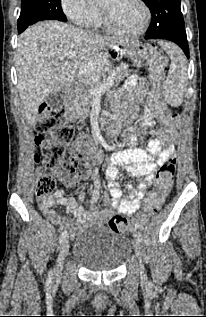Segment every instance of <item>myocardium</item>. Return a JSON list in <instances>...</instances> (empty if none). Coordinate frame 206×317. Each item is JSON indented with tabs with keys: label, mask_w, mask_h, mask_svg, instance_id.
Wrapping results in <instances>:
<instances>
[{
	"label": "myocardium",
	"mask_w": 206,
	"mask_h": 317,
	"mask_svg": "<svg viewBox=\"0 0 206 317\" xmlns=\"http://www.w3.org/2000/svg\"><path fill=\"white\" fill-rule=\"evenodd\" d=\"M136 2L140 4V6L142 7L144 11V21L139 30L135 32H130V33L119 30L113 25L107 10L100 6L102 21L106 29L115 35L126 37V38H135V37H139L143 35L148 29L150 21H151V10L144 0H136Z\"/></svg>",
	"instance_id": "obj_1"
}]
</instances>
